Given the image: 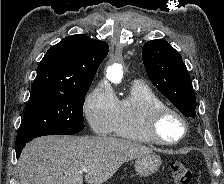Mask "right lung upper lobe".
<instances>
[{
	"instance_id": "obj_1",
	"label": "right lung upper lobe",
	"mask_w": 224,
	"mask_h": 184,
	"mask_svg": "<svg viewBox=\"0 0 224 184\" xmlns=\"http://www.w3.org/2000/svg\"><path fill=\"white\" fill-rule=\"evenodd\" d=\"M108 50L105 41L84 34L65 37L39 63L31 89L90 86Z\"/></svg>"
}]
</instances>
